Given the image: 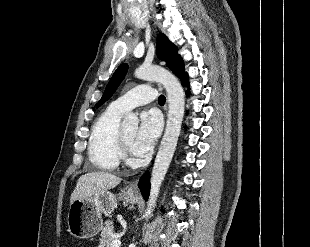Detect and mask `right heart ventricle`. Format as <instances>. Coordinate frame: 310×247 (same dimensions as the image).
Listing matches in <instances>:
<instances>
[{
	"mask_svg": "<svg viewBox=\"0 0 310 247\" xmlns=\"http://www.w3.org/2000/svg\"><path fill=\"white\" fill-rule=\"evenodd\" d=\"M123 113L109 105L92 127L88 155L90 162L97 169L115 170L123 158L119 141V124Z\"/></svg>",
	"mask_w": 310,
	"mask_h": 247,
	"instance_id": "1",
	"label": "right heart ventricle"
}]
</instances>
